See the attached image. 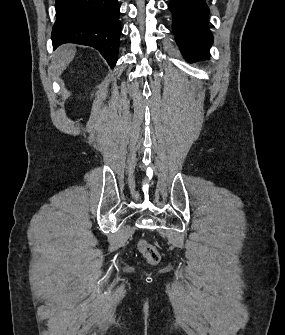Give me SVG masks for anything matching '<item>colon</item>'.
Segmentation results:
<instances>
[{"label": "colon", "instance_id": "colon-1", "mask_svg": "<svg viewBox=\"0 0 285 335\" xmlns=\"http://www.w3.org/2000/svg\"><path fill=\"white\" fill-rule=\"evenodd\" d=\"M137 248L149 264H157L160 261V253L158 249L146 240H139Z\"/></svg>", "mask_w": 285, "mask_h": 335}]
</instances>
